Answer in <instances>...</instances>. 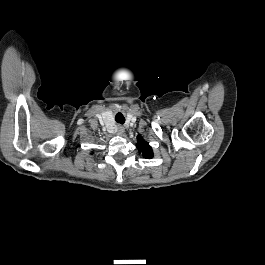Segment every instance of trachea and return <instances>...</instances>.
Masks as SVG:
<instances>
[{
	"label": "trachea",
	"instance_id": "obj_1",
	"mask_svg": "<svg viewBox=\"0 0 265 265\" xmlns=\"http://www.w3.org/2000/svg\"><path fill=\"white\" fill-rule=\"evenodd\" d=\"M115 120L117 123L124 124L125 122V117L119 112L115 116Z\"/></svg>",
	"mask_w": 265,
	"mask_h": 265
}]
</instances>
